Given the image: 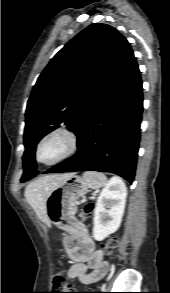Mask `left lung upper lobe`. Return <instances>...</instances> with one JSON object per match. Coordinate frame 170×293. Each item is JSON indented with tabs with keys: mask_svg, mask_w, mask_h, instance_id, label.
Returning a JSON list of instances; mask_svg holds the SVG:
<instances>
[{
	"mask_svg": "<svg viewBox=\"0 0 170 293\" xmlns=\"http://www.w3.org/2000/svg\"><path fill=\"white\" fill-rule=\"evenodd\" d=\"M132 53L115 28L93 23L51 59L27 104L21 182L39 173L35 169L38 141L61 125L78 135Z\"/></svg>",
	"mask_w": 170,
	"mask_h": 293,
	"instance_id": "5c2ea615",
	"label": "left lung upper lobe"
}]
</instances>
